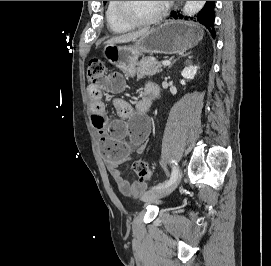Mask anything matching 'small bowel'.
<instances>
[{
  "label": "small bowel",
  "mask_w": 271,
  "mask_h": 266,
  "mask_svg": "<svg viewBox=\"0 0 271 266\" xmlns=\"http://www.w3.org/2000/svg\"><path fill=\"white\" fill-rule=\"evenodd\" d=\"M153 85L152 83L146 85L145 96L136 103L134 108L123 99H114L113 105L119 116V119L114 121L107 119L103 92H121L125 88L122 74L112 71L92 80L88 87L91 123L100 133L102 153L108 172L119 190L125 195L140 194L145 188L142 182L130 183L124 179L119 167L129 159L132 147H138L142 151L148 138L150 125L145 114L152 103L147 93Z\"/></svg>",
  "instance_id": "obj_1"
}]
</instances>
